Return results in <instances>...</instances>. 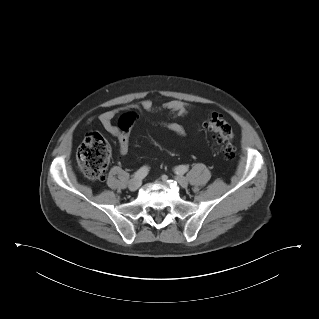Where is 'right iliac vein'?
Segmentation results:
<instances>
[{"label": "right iliac vein", "instance_id": "1", "mask_svg": "<svg viewBox=\"0 0 319 319\" xmlns=\"http://www.w3.org/2000/svg\"><path fill=\"white\" fill-rule=\"evenodd\" d=\"M141 186V180L138 178H134L129 182L130 191H136Z\"/></svg>", "mask_w": 319, "mask_h": 319}]
</instances>
